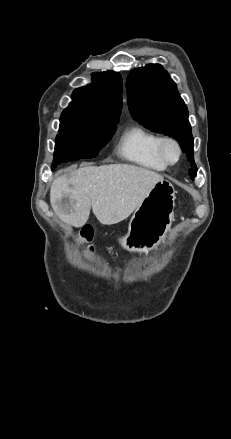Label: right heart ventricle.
Listing matches in <instances>:
<instances>
[{"mask_svg":"<svg viewBox=\"0 0 231 439\" xmlns=\"http://www.w3.org/2000/svg\"><path fill=\"white\" fill-rule=\"evenodd\" d=\"M160 138L142 126L133 125L121 135L117 150L123 158L140 167L162 172L168 166L161 160L157 151Z\"/></svg>","mask_w":231,"mask_h":439,"instance_id":"1","label":"right heart ventricle"}]
</instances>
